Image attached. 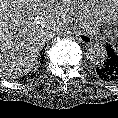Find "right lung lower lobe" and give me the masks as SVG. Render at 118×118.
Segmentation results:
<instances>
[{
  "instance_id": "98d812e1",
  "label": "right lung lower lobe",
  "mask_w": 118,
  "mask_h": 118,
  "mask_svg": "<svg viewBox=\"0 0 118 118\" xmlns=\"http://www.w3.org/2000/svg\"><path fill=\"white\" fill-rule=\"evenodd\" d=\"M43 58H44V54H43ZM42 63H43V61H42ZM32 76H34V74H33V75H31V77H32ZM22 80H24V77L22 78Z\"/></svg>"
}]
</instances>
